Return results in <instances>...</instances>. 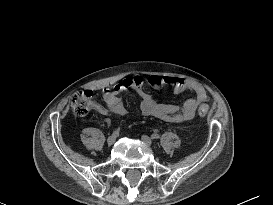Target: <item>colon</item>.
Returning <instances> with one entry per match:
<instances>
[{
  "label": "colon",
  "instance_id": "1",
  "mask_svg": "<svg viewBox=\"0 0 273 205\" xmlns=\"http://www.w3.org/2000/svg\"><path fill=\"white\" fill-rule=\"evenodd\" d=\"M70 104L73 111L78 116H84L96 106V94L92 90H81L75 92L70 98ZM209 110L205 105L198 108L201 116H206Z\"/></svg>",
  "mask_w": 273,
  "mask_h": 205
}]
</instances>
